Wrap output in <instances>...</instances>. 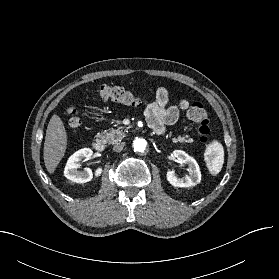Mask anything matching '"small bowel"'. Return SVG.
Segmentation results:
<instances>
[{"instance_id":"small-bowel-1","label":"small bowel","mask_w":279,"mask_h":279,"mask_svg":"<svg viewBox=\"0 0 279 279\" xmlns=\"http://www.w3.org/2000/svg\"><path fill=\"white\" fill-rule=\"evenodd\" d=\"M169 92L166 88L160 87L156 91L155 99L145 109V115L149 126L157 134H163L167 125L174 124L181 113L186 112L190 102L186 99L180 100L177 105L167 106Z\"/></svg>"}]
</instances>
